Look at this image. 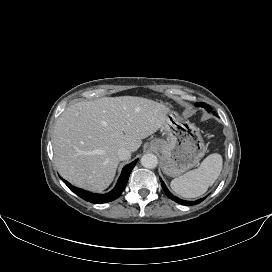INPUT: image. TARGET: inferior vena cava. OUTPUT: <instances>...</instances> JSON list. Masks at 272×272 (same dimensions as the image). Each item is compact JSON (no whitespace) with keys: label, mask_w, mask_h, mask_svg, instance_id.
<instances>
[{"label":"inferior vena cava","mask_w":272,"mask_h":272,"mask_svg":"<svg viewBox=\"0 0 272 272\" xmlns=\"http://www.w3.org/2000/svg\"><path fill=\"white\" fill-rule=\"evenodd\" d=\"M117 156L119 160H128L131 157V152L124 147L118 149Z\"/></svg>","instance_id":"1"}]
</instances>
